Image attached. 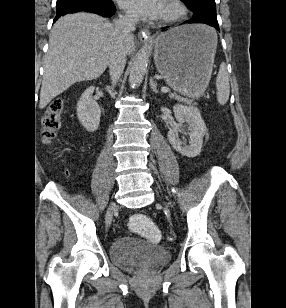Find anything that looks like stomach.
I'll return each instance as SVG.
<instances>
[{
    "label": "stomach",
    "instance_id": "stomach-1",
    "mask_svg": "<svg viewBox=\"0 0 286 308\" xmlns=\"http://www.w3.org/2000/svg\"><path fill=\"white\" fill-rule=\"evenodd\" d=\"M155 65L168 85L193 97L208 86L217 47L215 30L204 24H187L159 35Z\"/></svg>",
    "mask_w": 286,
    "mask_h": 308
}]
</instances>
